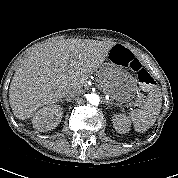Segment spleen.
Returning <instances> with one entry per match:
<instances>
[{
    "label": "spleen",
    "mask_w": 178,
    "mask_h": 178,
    "mask_svg": "<svg viewBox=\"0 0 178 178\" xmlns=\"http://www.w3.org/2000/svg\"><path fill=\"white\" fill-rule=\"evenodd\" d=\"M161 106V91L157 85H152L141 107L130 112L135 130L145 132L153 126L160 113Z\"/></svg>",
    "instance_id": "obj_1"
}]
</instances>
